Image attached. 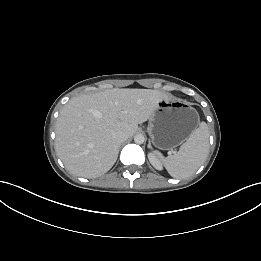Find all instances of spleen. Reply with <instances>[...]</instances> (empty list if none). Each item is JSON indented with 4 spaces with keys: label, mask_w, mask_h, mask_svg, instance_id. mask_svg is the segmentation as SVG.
Returning a JSON list of instances; mask_svg holds the SVG:
<instances>
[{
    "label": "spleen",
    "mask_w": 261,
    "mask_h": 261,
    "mask_svg": "<svg viewBox=\"0 0 261 261\" xmlns=\"http://www.w3.org/2000/svg\"><path fill=\"white\" fill-rule=\"evenodd\" d=\"M163 161L168 173L174 178H186L193 175L203 164L209 153V134L207 125L202 122L190 135L178 152L164 158L155 152Z\"/></svg>",
    "instance_id": "1"
}]
</instances>
